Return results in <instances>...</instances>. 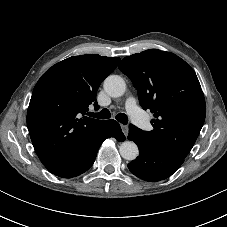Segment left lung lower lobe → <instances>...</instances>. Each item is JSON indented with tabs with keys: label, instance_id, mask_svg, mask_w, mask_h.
Here are the masks:
<instances>
[{
	"label": "left lung lower lobe",
	"instance_id": "0a47b994",
	"mask_svg": "<svg viewBox=\"0 0 227 227\" xmlns=\"http://www.w3.org/2000/svg\"><path fill=\"white\" fill-rule=\"evenodd\" d=\"M128 139L134 141L140 155L132 161L128 168L137 177L156 182L170 177L184 162V159L161 151L153 146L142 130L129 125Z\"/></svg>",
	"mask_w": 227,
	"mask_h": 227
}]
</instances>
